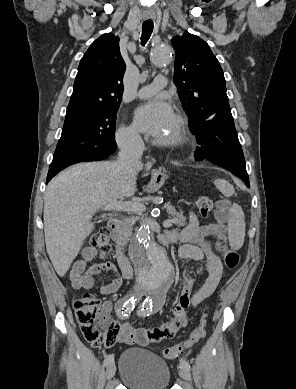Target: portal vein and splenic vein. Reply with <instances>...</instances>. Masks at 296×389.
Segmentation results:
<instances>
[{
	"label": "portal vein and splenic vein",
	"instance_id": "portal-vein-and-splenic-vein-1",
	"mask_svg": "<svg viewBox=\"0 0 296 389\" xmlns=\"http://www.w3.org/2000/svg\"><path fill=\"white\" fill-rule=\"evenodd\" d=\"M145 205L139 202L131 201H111L106 205L103 210L105 211H134V212H143L145 211ZM163 226L170 228L172 226V220H166L163 222Z\"/></svg>",
	"mask_w": 296,
	"mask_h": 389
}]
</instances>
